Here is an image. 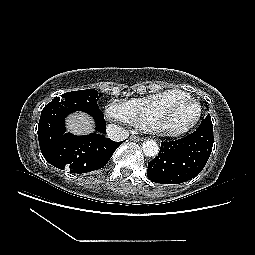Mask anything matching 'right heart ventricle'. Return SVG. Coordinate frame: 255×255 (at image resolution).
<instances>
[{"label":"right heart ventricle","mask_w":255,"mask_h":255,"mask_svg":"<svg viewBox=\"0 0 255 255\" xmlns=\"http://www.w3.org/2000/svg\"><path fill=\"white\" fill-rule=\"evenodd\" d=\"M184 94L187 93L179 89H169L124 102L126 121L135 127L143 128L158 109L170 100L182 97Z\"/></svg>","instance_id":"1"}]
</instances>
